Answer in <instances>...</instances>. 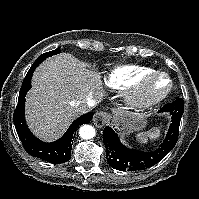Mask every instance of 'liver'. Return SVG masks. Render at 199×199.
Returning <instances> with one entry per match:
<instances>
[{
    "mask_svg": "<svg viewBox=\"0 0 199 199\" xmlns=\"http://www.w3.org/2000/svg\"><path fill=\"white\" fill-rule=\"evenodd\" d=\"M100 75L83 62L61 53L43 62L34 72L26 97V120L32 133L45 141L59 138L79 116L77 105L101 102Z\"/></svg>",
    "mask_w": 199,
    "mask_h": 199,
    "instance_id": "6515ba94",
    "label": "liver"
}]
</instances>
